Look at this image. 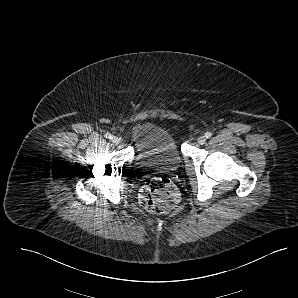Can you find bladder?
<instances>
[{
  "label": "bladder",
  "instance_id": "31cf9c89",
  "mask_svg": "<svg viewBox=\"0 0 298 298\" xmlns=\"http://www.w3.org/2000/svg\"><path fill=\"white\" fill-rule=\"evenodd\" d=\"M131 137L138 165L166 172L179 168L181 154L172 135L164 128L149 122L139 123L133 127Z\"/></svg>",
  "mask_w": 298,
  "mask_h": 298
}]
</instances>
